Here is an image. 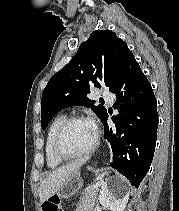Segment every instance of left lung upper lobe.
Wrapping results in <instances>:
<instances>
[{"instance_id":"obj_1","label":"left lung upper lobe","mask_w":179,"mask_h":211,"mask_svg":"<svg viewBox=\"0 0 179 211\" xmlns=\"http://www.w3.org/2000/svg\"><path fill=\"white\" fill-rule=\"evenodd\" d=\"M127 44L110 30H96L83 42L76 55L49 80L42 94L41 126L45 129L52 117L70 106L91 107L102 120L107 110L87 98L90 87L105 84L109 91L116 83L127 57Z\"/></svg>"}]
</instances>
